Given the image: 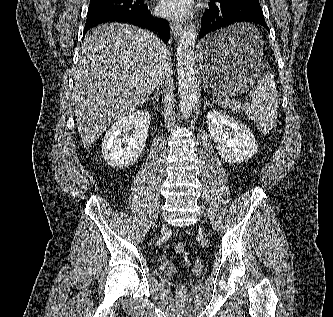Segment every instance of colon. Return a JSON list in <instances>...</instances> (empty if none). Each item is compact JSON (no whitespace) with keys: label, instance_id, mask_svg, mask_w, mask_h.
<instances>
[{"label":"colon","instance_id":"1","mask_svg":"<svg viewBox=\"0 0 333 317\" xmlns=\"http://www.w3.org/2000/svg\"><path fill=\"white\" fill-rule=\"evenodd\" d=\"M174 251L177 254H183L185 252V245L182 242H177L174 245Z\"/></svg>","mask_w":333,"mask_h":317}]
</instances>
